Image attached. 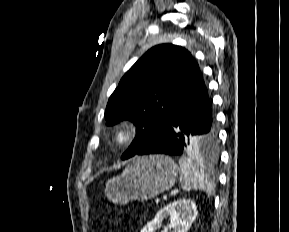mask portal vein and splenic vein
<instances>
[{"mask_svg":"<svg viewBox=\"0 0 289 232\" xmlns=\"http://www.w3.org/2000/svg\"><path fill=\"white\" fill-rule=\"evenodd\" d=\"M160 201H161L160 198H156V199H155V203H156V204L159 203Z\"/></svg>","mask_w":289,"mask_h":232,"instance_id":"portal-vein-and-splenic-vein-1","label":"portal vein and splenic vein"}]
</instances>
